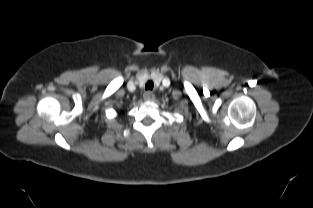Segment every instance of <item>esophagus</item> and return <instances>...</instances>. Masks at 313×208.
<instances>
[{
	"label": "esophagus",
	"mask_w": 313,
	"mask_h": 208,
	"mask_svg": "<svg viewBox=\"0 0 313 208\" xmlns=\"http://www.w3.org/2000/svg\"><path fill=\"white\" fill-rule=\"evenodd\" d=\"M143 98L145 101H152L155 98V95L153 92L151 91H146L143 95Z\"/></svg>",
	"instance_id": "obj_1"
}]
</instances>
